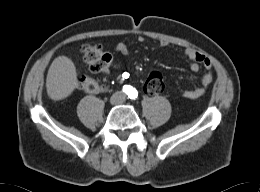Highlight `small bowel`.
<instances>
[{
    "label": "small bowel",
    "instance_id": "1",
    "mask_svg": "<svg viewBox=\"0 0 260 192\" xmlns=\"http://www.w3.org/2000/svg\"><path fill=\"white\" fill-rule=\"evenodd\" d=\"M139 41L142 42L143 38H139ZM162 46H167L168 42L162 41ZM115 51L120 53L124 56H128L130 54L129 47L124 42H119L115 45ZM185 58L189 61L190 69L193 72H198L202 67L207 71L201 79V83L198 87L184 90L182 92V96L188 99H197L203 96L208 87L214 80V73H213V66L211 61L203 54L193 50V49H186L184 52ZM105 74H108L109 71L106 69L103 71ZM123 75L121 78H124Z\"/></svg>",
    "mask_w": 260,
    "mask_h": 192
}]
</instances>
